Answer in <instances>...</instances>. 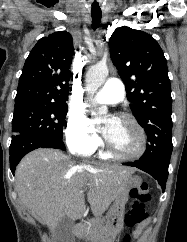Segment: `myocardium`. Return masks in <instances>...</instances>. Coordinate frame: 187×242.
Here are the masks:
<instances>
[{"instance_id": "obj_1", "label": "myocardium", "mask_w": 187, "mask_h": 242, "mask_svg": "<svg viewBox=\"0 0 187 242\" xmlns=\"http://www.w3.org/2000/svg\"><path fill=\"white\" fill-rule=\"evenodd\" d=\"M115 118L127 121L136 128L140 137V146L136 152L124 153L112 148L108 143V141L106 140L105 146H104L105 153L110 157L118 158V159H136L141 157L147 149V135L143 126L138 122V120L134 116H132L129 113H125V112L118 113L115 116Z\"/></svg>"}]
</instances>
